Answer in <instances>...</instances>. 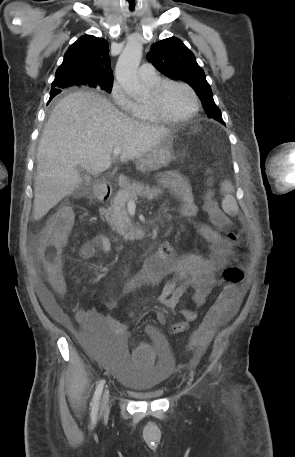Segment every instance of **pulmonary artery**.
Wrapping results in <instances>:
<instances>
[{"instance_id":"e3ab8cb5","label":"pulmonary artery","mask_w":295,"mask_h":457,"mask_svg":"<svg viewBox=\"0 0 295 457\" xmlns=\"http://www.w3.org/2000/svg\"><path fill=\"white\" fill-rule=\"evenodd\" d=\"M139 76L140 78L147 82V81H154L158 79V74L154 68V66L150 63H144L139 68Z\"/></svg>"}]
</instances>
